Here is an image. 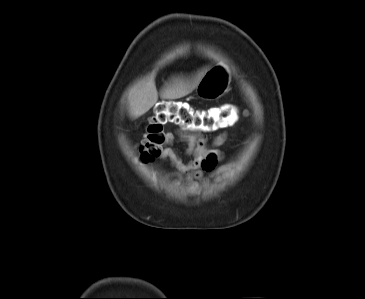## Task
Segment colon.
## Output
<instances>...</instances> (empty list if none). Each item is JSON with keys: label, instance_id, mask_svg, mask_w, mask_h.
<instances>
[{"label": "colon", "instance_id": "1", "mask_svg": "<svg viewBox=\"0 0 365 299\" xmlns=\"http://www.w3.org/2000/svg\"><path fill=\"white\" fill-rule=\"evenodd\" d=\"M231 121L230 108L201 110L181 101H161L156 104L154 114L145 127V139L141 144L143 159L151 161L159 156L165 143L164 127L168 124L187 130L212 132L229 126Z\"/></svg>", "mask_w": 365, "mask_h": 299}]
</instances>
